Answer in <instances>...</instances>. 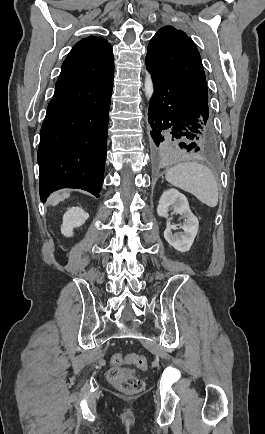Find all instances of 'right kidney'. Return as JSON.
I'll list each match as a JSON object with an SVG mask.
<instances>
[{"mask_svg":"<svg viewBox=\"0 0 265 434\" xmlns=\"http://www.w3.org/2000/svg\"><path fill=\"white\" fill-rule=\"evenodd\" d=\"M89 214L82 210V208H69L68 212L63 216V224L61 228V234L66 238L73 236L74 228H80L85 224V220H88Z\"/></svg>","mask_w":265,"mask_h":434,"instance_id":"1","label":"right kidney"}]
</instances>
